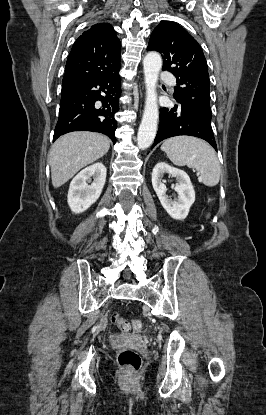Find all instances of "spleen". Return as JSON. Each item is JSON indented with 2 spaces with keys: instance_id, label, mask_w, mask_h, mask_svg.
Returning a JSON list of instances; mask_svg holds the SVG:
<instances>
[{
  "instance_id": "1",
  "label": "spleen",
  "mask_w": 266,
  "mask_h": 415,
  "mask_svg": "<svg viewBox=\"0 0 266 415\" xmlns=\"http://www.w3.org/2000/svg\"><path fill=\"white\" fill-rule=\"evenodd\" d=\"M172 163L198 172V180L205 186L219 183L221 167L214 149L205 141L191 136H177L167 139L161 146Z\"/></svg>"
}]
</instances>
